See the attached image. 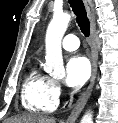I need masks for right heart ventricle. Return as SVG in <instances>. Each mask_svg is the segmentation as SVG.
Wrapping results in <instances>:
<instances>
[{"instance_id":"right-heart-ventricle-1","label":"right heart ventricle","mask_w":118,"mask_h":123,"mask_svg":"<svg viewBox=\"0 0 118 123\" xmlns=\"http://www.w3.org/2000/svg\"><path fill=\"white\" fill-rule=\"evenodd\" d=\"M21 102L30 112L41 114L53 112L58 105L53 80L36 67L32 68L22 85Z\"/></svg>"}]
</instances>
